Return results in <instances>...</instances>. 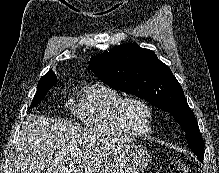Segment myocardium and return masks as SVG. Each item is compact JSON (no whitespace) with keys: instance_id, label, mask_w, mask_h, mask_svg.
<instances>
[{"instance_id":"myocardium-1","label":"myocardium","mask_w":219,"mask_h":173,"mask_svg":"<svg viewBox=\"0 0 219 173\" xmlns=\"http://www.w3.org/2000/svg\"><path fill=\"white\" fill-rule=\"evenodd\" d=\"M131 103H138L146 109L148 113V124L146 130H139L129 121L127 117V106ZM116 116L120 125L135 136H147L152 132L154 110L151 104L140 96L131 95L123 97L116 107Z\"/></svg>"}]
</instances>
